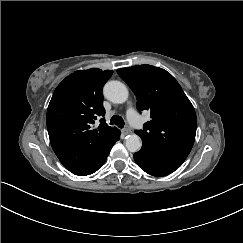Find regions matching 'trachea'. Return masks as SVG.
Masks as SVG:
<instances>
[{
	"label": "trachea",
	"instance_id": "1",
	"mask_svg": "<svg viewBox=\"0 0 243 243\" xmlns=\"http://www.w3.org/2000/svg\"><path fill=\"white\" fill-rule=\"evenodd\" d=\"M110 124H115L117 125L119 128H123L124 127V120L122 117H120L119 115H114L112 116V118L110 119Z\"/></svg>",
	"mask_w": 243,
	"mask_h": 243
}]
</instances>
